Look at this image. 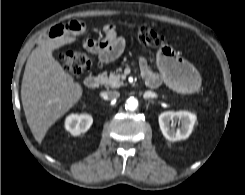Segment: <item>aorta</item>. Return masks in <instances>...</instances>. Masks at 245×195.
<instances>
[{"label": "aorta", "mask_w": 245, "mask_h": 195, "mask_svg": "<svg viewBox=\"0 0 245 195\" xmlns=\"http://www.w3.org/2000/svg\"><path fill=\"white\" fill-rule=\"evenodd\" d=\"M137 107H138V101L134 97H130L125 104V108L130 111L136 110Z\"/></svg>", "instance_id": "1"}]
</instances>
